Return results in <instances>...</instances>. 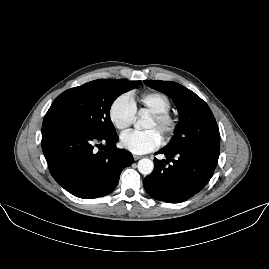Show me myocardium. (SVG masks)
I'll return each mask as SVG.
<instances>
[{"instance_id": "myocardium-1", "label": "myocardium", "mask_w": 269, "mask_h": 269, "mask_svg": "<svg viewBox=\"0 0 269 269\" xmlns=\"http://www.w3.org/2000/svg\"><path fill=\"white\" fill-rule=\"evenodd\" d=\"M152 117L158 120V122L166 129V136L163 143H170L178 131L180 122L179 117L170 111L155 112L152 113Z\"/></svg>"}]
</instances>
